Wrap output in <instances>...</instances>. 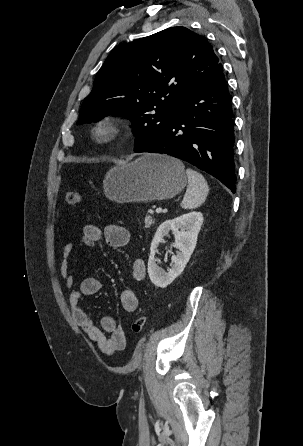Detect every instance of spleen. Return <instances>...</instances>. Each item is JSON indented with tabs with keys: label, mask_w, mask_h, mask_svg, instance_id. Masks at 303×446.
I'll return each instance as SVG.
<instances>
[{
	"label": "spleen",
	"mask_w": 303,
	"mask_h": 446,
	"mask_svg": "<svg viewBox=\"0 0 303 446\" xmlns=\"http://www.w3.org/2000/svg\"><path fill=\"white\" fill-rule=\"evenodd\" d=\"M186 175L188 177V187L181 202V207L184 209H195L206 200L209 186L203 175L193 169L188 168Z\"/></svg>",
	"instance_id": "1"
}]
</instances>
